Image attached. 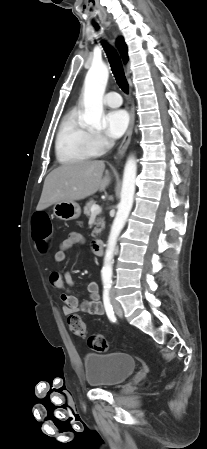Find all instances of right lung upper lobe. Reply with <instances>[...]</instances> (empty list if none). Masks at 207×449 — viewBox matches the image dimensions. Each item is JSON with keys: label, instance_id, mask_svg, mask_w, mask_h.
Instances as JSON below:
<instances>
[{"label": "right lung upper lobe", "instance_id": "right-lung-upper-lobe-1", "mask_svg": "<svg viewBox=\"0 0 207 449\" xmlns=\"http://www.w3.org/2000/svg\"><path fill=\"white\" fill-rule=\"evenodd\" d=\"M117 44H118V49L120 51L122 59H123L124 63H126L128 61L127 46L122 38L118 39Z\"/></svg>", "mask_w": 207, "mask_h": 449}]
</instances>
